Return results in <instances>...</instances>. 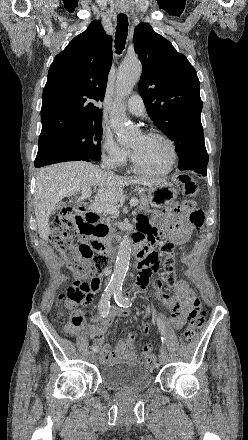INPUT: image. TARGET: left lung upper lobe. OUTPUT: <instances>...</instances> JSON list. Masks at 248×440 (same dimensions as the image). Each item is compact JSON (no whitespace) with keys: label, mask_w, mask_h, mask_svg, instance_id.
<instances>
[{"label":"left lung upper lobe","mask_w":248,"mask_h":440,"mask_svg":"<svg viewBox=\"0 0 248 440\" xmlns=\"http://www.w3.org/2000/svg\"><path fill=\"white\" fill-rule=\"evenodd\" d=\"M133 42L143 65L139 93L155 125L174 141L178 167L207 165L200 120L203 104L196 71L147 23L141 22L135 28Z\"/></svg>","instance_id":"1"}]
</instances>
